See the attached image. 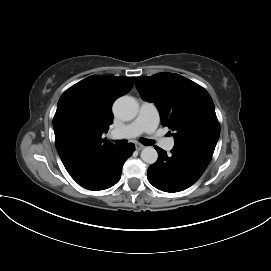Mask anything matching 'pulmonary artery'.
<instances>
[{
  "label": "pulmonary artery",
  "mask_w": 271,
  "mask_h": 271,
  "mask_svg": "<svg viewBox=\"0 0 271 271\" xmlns=\"http://www.w3.org/2000/svg\"><path fill=\"white\" fill-rule=\"evenodd\" d=\"M159 123V112L153 103L144 102L139 110L136 119L122 128L112 132L113 137H136L142 133H153ZM159 145L167 151H170L174 146L173 138H160Z\"/></svg>",
  "instance_id": "obj_1"
}]
</instances>
